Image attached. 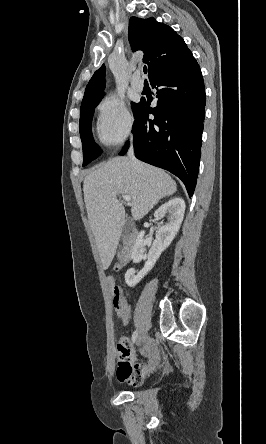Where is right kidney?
Instances as JSON below:
<instances>
[{"label": "right kidney", "instance_id": "obj_1", "mask_svg": "<svg viewBox=\"0 0 266 444\" xmlns=\"http://www.w3.org/2000/svg\"><path fill=\"white\" fill-rule=\"evenodd\" d=\"M185 207L184 200L176 197L169 200L155 211L154 217L157 220L167 215L168 223L162 225L157 231L156 239L149 250L144 268L139 271L137 275H135V269L133 268L128 269L125 273V282L128 286L133 287L139 283L141 279L154 267L161 253L171 244L183 221ZM144 234V231L139 233L132 248L131 257L134 263H139L143 259L146 246Z\"/></svg>", "mask_w": 266, "mask_h": 444}]
</instances>
